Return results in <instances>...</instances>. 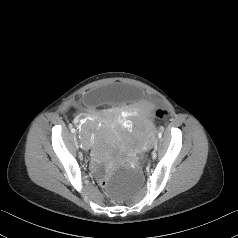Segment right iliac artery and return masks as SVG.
Returning <instances> with one entry per match:
<instances>
[{
	"label": "right iliac artery",
	"instance_id": "right-iliac-artery-1",
	"mask_svg": "<svg viewBox=\"0 0 238 238\" xmlns=\"http://www.w3.org/2000/svg\"><path fill=\"white\" fill-rule=\"evenodd\" d=\"M71 132H72V133H75V129H74V128H71Z\"/></svg>",
	"mask_w": 238,
	"mask_h": 238
}]
</instances>
